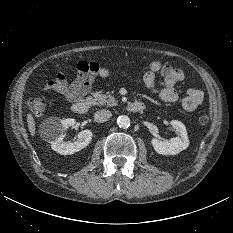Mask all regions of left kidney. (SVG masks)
<instances>
[{
    "label": "left kidney",
    "instance_id": "1",
    "mask_svg": "<svg viewBox=\"0 0 233 233\" xmlns=\"http://www.w3.org/2000/svg\"><path fill=\"white\" fill-rule=\"evenodd\" d=\"M170 124L175 130L177 137L171 138L169 141H162L156 138L151 140V144L158 154L176 155L189 146L185 125L178 120H172Z\"/></svg>",
    "mask_w": 233,
    "mask_h": 233
}]
</instances>
